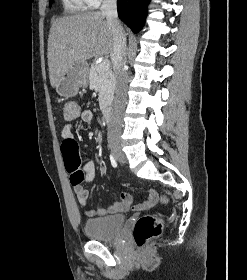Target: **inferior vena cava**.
I'll return each mask as SVG.
<instances>
[{"label":"inferior vena cava","mask_w":247,"mask_h":280,"mask_svg":"<svg viewBox=\"0 0 247 280\" xmlns=\"http://www.w3.org/2000/svg\"><path fill=\"white\" fill-rule=\"evenodd\" d=\"M117 0H103L100 13L106 16L109 28L113 35V49L110 54L113 70L116 78V90L113 103V112L108 128L109 143L118 142L122 127V111L126 101L127 72L124 69L126 63V35L120 25L117 14Z\"/></svg>","instance_id":"obj_1"}]
</instances>
